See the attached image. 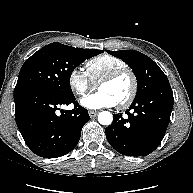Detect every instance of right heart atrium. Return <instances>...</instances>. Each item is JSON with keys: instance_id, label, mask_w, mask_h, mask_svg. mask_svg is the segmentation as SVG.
<instances>
[{"instance_id": "obj_1", "label": "right heart atrium", "mask_w": 193, "mask_h": 193, "mask_svg": "<svg viewBox=\"0 0 193 193\" xmlns=\"http://www.w3.org/2000/svg\"><path fill=\"white\" fill-rule=\"evenodd\" d=\"M68 84L73 93L79 97L86 95L96 87L87 72L78 67L70 71Z\"/></svg>"}]
</instances>
